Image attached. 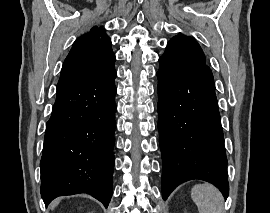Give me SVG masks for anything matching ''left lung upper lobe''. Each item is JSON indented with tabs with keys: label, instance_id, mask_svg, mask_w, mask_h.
Returning a JSON list of instances; mask_svg holds the SVG:
<instances>
[{
	"label": "left lung upper lobe",
	"instance_id": "left-lung-upper-lobe-1",
	"mask_svg": "<svg viewBox=\"0 0 270 213\" xmlns=\"http://www.w3.org/2000/svg\"><path fill=\"white\" fill-rule=\"evenodd\" d=\"M159 70L169 73L198 71L213 77L206 65L205 55L191 37L179 33L167 43L165 53L159 59Z\"/></svg>",
	"mask_w": 270,
	"mask_h": 213
}]
</instances>
